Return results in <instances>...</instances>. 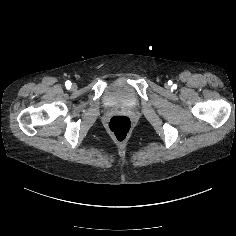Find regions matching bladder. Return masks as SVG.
Masks as SVG:
<instances>
[{"label": "bladder", "mask_w": 236, "mask_h": 236, "mask_svg": "<svg viewBox=\"0 0 236 236\" xmlns=\"http://www.w3.org/2000/svg\"><path fill=\"white\" fill-rule=\"evenodd\" d=\"M134 101H138L137 95L128 88L113 87L111 92L107 96L108 105L122 106V107H133Z\"/></svg>", "instance_id": "obj_1"}]
</instances>
